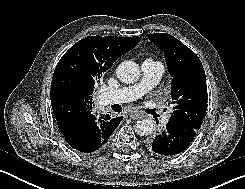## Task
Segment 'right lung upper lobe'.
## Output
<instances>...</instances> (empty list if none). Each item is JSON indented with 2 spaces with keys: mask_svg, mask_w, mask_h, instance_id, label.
I'll return each instance as SVG.
<instances>
[{
  "mask_svg": "<svg viewBox=\"0 0 245 189\" xmlns=\"http://www.w3.org/2000/svg\"><path fill=\"white\" fill-rule=\"evenodd\" d=\"M139 41L135 36H88L62 56L51 83V105L61 133L90 119L95 82Z\"/></svg>",
  "mask_w": 245,
  "mask_h": 189,
  "instance_id": "cb5924a9",
  "label": "right lung upper lobe"
}]
</instances>
